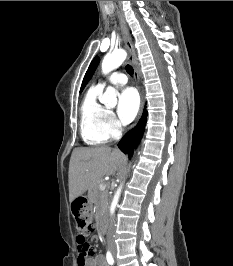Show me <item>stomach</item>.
I'll use <instances>...</instances> for the list:
<instances>
[{
	"label": "stomach",
	"mask_w": 233,
	"mask_h": 266,
	"mask_svg": "<svg viewBox=\"0 0 233 266\" xmlns=\"http://www.w3.org/2000/svg\"><path fill=\"white\" fill-rule=\"evenodd\" d=\"M89 204L91 199L89 196H75L71 209H73L74 221H76V232H87L88 228H92L94 220H91Z\"/></svg>",
	"instance_id": "1"
}]
</instances>
